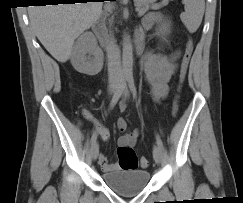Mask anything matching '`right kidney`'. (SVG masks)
<instances>
[{
  "label": "right kidney",
  "mask_w": 243,
  "mask_h": 203,
  "mask_svg": "<svg viewBox=\"0 0 243 203\" xmlns=\"http://www.w3.org/2000/svg\"><path fill=\"white\" fill-rule=\"evenodd\" d=\"M71 63L75 70L87 75L98 74L103 67V53L91 32L83 33L74 46Z\"/></svg>",
  "instance_id": "obj_1"
}]
</instances>
